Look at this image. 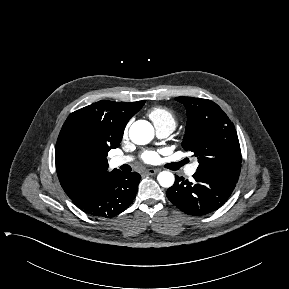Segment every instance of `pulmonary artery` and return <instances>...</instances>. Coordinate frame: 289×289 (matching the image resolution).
Here are the masks:
<instances>
[{"label": "pulmonary artery", "mask_w": 289, "mask_h": 289, "mask_svg": "<svg viewBox=\"0 0 289 289\" xmlns=\"http://www.w3.org/2000/svg\"><path fill=\"white\" fill-rule=\"evenodd\" d=\"M173 129L172 128H168V127H162V128H157L156 132L158 137L160 138H165L167 136H169L172 133ZM133 160L132 156H115L110 160V163L112 166L114 167H118L120 165L129 163ZM197 169V164L193 163L190 164L187 168H186V173L189 176H192Z\"/></svg>", "instance_id": "obj_1"}]
</instances>
